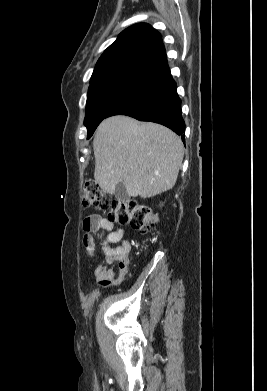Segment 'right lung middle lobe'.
Listing matches in <instances>:
<instances>
[{"mask_svg":"<svg viewBox=\"0 0 267 391\" xmlns=\"http://www.w3.org/2000/svg\"><path fill=\"white\" fill-rule=\"evenodd\" d=\"M152 77L135 73H114L90 81L84 124L89 139L111 110L145 85Z\"/></svg>","mask_w":267,"mask_h":391,"instance_id":"dd1d6c3e","label":"right lung middle lobe"}]
</instances>
